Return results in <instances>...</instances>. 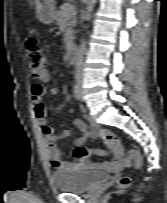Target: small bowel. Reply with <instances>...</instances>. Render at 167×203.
Segmentation results:
<instances>
[{
  "mask_svg": "<svg viewBox=\"0 0 167 203\" xmlns=\"http://www.w3.org/2000/svg\"><path fill=\"white\" fill-rule=\"evenodd\" d=\"M33 78L39 80L40 82L46 83L50 81V72L49 70H44L38 74H32ZM60 93L58 88H45L40 83H34L31 86V100L34 107V113L36 118L39 121L40 130L44 136L47 147L49 149L50 162L52 167L55 170L59 169H83V170H103L111 173L119 172L123 167H127L121 163L117 157V152H122V147L120 140L117 136L106 129H102L98 124L92 123L90 126H87L79 119H73V125L82 133L84 137L77 140V144H81L86 138H96L102 137L107 144V146L112 151V160L100 161V162H91L85 161L82 164H74L67 162L62 157V150L57 145V141L61 138H67L71 136L69 130H64L60 135H57L55 128L52 124L48 123L45 119L46 110L42 103V98L45 95L56 97ZM94 154L97 156H107L108 153L103 150H95Z\"/></svg>",
  "mask_w": 167,
  "mask_h": 203,
  "instance_id": "c3829d8e",
  "label": "small bowel"
}]
</instances>
